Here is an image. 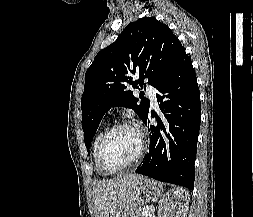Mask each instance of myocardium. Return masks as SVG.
Returning a JSON list of instances; mask_svg holds the SVG:
<instances>
[{
  "label": "myocardium",
  "instance_id": "obj_1",
  "mask_svg": "<svg viewBox=\"0 0 253 217\" xmlns=\"http://www.w3.org/2000/svg\"><path fill=\"white\" fill-rule=\"evenodd\" d=\"M121 128H131L134 129L140 138V148L138 153L136 154V156L127 164L115 168V169H111L108 168L104 165L103 161H102V150H103V146L106 142V140L108 139V137L115 132L118 129ZM147 145H148V140H147V136L145 134V132L143 131L142 128H140L137 125H134L130 122H118L113 124L112 126H110L101 136V138L99 139L98 145H97V149H96V163H97V168L98 170L104 174V175H113V174H117L120 173L124 170H127L131 167H133L134 165H136L144 156L146 149H147Z\"/></svg>",
  "mask_w": 253,
  "mask_h": 217
}]
</instances>
